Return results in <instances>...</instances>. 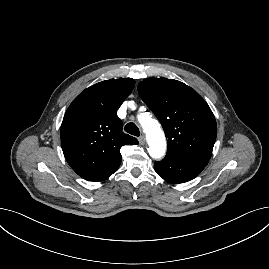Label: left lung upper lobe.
Masks as SVG:
<instances>
[{"label": "left lung upper lobe", "instance_id": "left-lung-upper-lobe-1", "mask_svg": "<svg viewBox=\"0 0 269 269\" xmlns=\"http://www.w3.org/2000/svg\"><path fill=\"white\" fill-rule=\"evenodd\" d=\"M138 92L163 126L167 154L210 159L217 125L210 107L195 90L177 80L150 78L138 84Z\"/></svg>", "mask_w": 269, "mask_h": 269}]
</instances>
